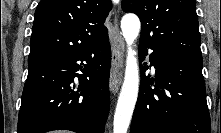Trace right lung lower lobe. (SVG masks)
<instances>
[{"instance_id":"98d812e1","label":"right lung lower lobe","mask_w":221,"mask_h":133,"mask_svg":"<svg viewBox=\"0 0 221 133\" xmlns=\"http://www.w3.org/2000/svg\"><path fill=\"white\" fill-rule=\"evenodd\" d=\"M83 61L87 64L81 65ZM110 61L106 35L82 51L29 62L17 132L103 133L110 106Z\"/></svg>"}]
</instances>
